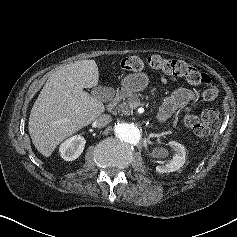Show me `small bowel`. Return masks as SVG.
Here are the masks:
<instances>
[{
	"label": "small bowel",
	"mask_w": 237,
	"mask_h": 237,
	"mask_svg": "<svg viewBox=\"0 0 237 237\" xmlns=\"http://www.w3.org/2000/svg\"><path fill=\"white\" fill-rule=\"evenodd\" d=\"M198 95L189 88H177L162 104L158 118L164 122L168 120L176 111L188 112L196 106Z\"/></svg>",
	"instance_id": "small-bowel-1"
}]
</instances>
